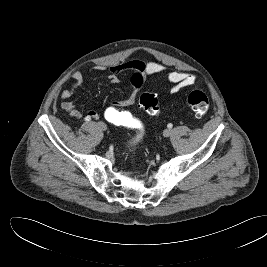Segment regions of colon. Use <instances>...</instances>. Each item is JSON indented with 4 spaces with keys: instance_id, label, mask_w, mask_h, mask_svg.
Instances as JSON below:
<instances>
[{
    "instance_id": "obj_1",
    "label": "colon",
    "mask_w": 267,
    "mask_h": 267,
    "mask_svg": "<svg viewBox=\"0 0 267 267\" xmlns=\"http://www.w3.org/2000/svg\"><path fill=\"white\" fill-rule=\"evenodd\" d=\"M188 107L198 116H204L209 109L208 97L199 90L191 91L186 99ZM139 105L150 115H158L160 106L154 94L142 93L139 98ZM104 119L119 127L134 129L137 134L128 142V148H134L143 138V129L141 123L135 119L128 111L121 107L110 104L103 111Z\"/></svg>"
}]
</instances>
